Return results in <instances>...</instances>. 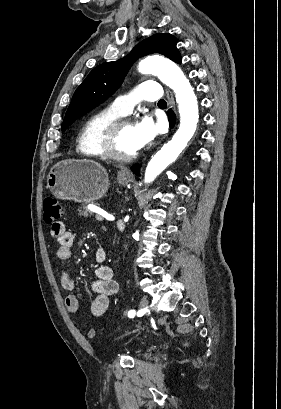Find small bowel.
I'll use <instances>...</instances> for the list:
<instances>
[{
  "label": "small bowel",
  "mask_w": 281,
  "mask_h": 409,
  "mask_svg": "<svg viewBox=\"0 0 281 409\" xmlns=\"http://www.w3.org/2000/svg\"><path fill=\"white\" fill-rule=\"evenodd\" d=\"M51 235L58 244L56 257L63 265L60 273V285L66 291L73 290L74 279L66 268V264L71 257L73 234L63 222L57 221L51 226ZM106 258L107 250L103 246H97L94 250V259L102 263ZM94 273L95 281L91 284L90 290L95 295V300L91 310L94 316H101L109 306V298L118 292V283L114 279V270L109 265L101 264L97 266ZM65 305L70 313L80 311V302L74 295L65 298Z\"/></svg>",
  "instance_id": "small-bowel-1"
}]
</instances>
